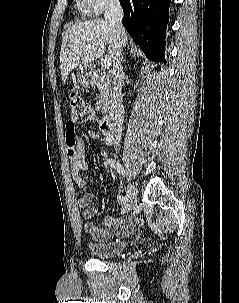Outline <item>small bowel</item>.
I'll return each mask as SVG.
<instances>
[{
    "label": "small bowel",
    "instance_id": "small-bowel-1",
    "mask_svg": "<svg viewBox=\"0 0 239 303\" xmlns=\"http://www.w3.org/2000/svg\"><path fill=\"white\" fill-rule=\"evenodd\" d=\"M96 120V112L91 110L84 122ZM88 135L90 138L102 141L106 145L112 144V139L102 131L99 133L90 130ZM66 148L70 159L72 178L80 189H85L87 187V181L81 176L82 172L88 170V164L85 161V142L81 136L76 134L75 125L73 129L67 127ZM94 198V193L86 192L79 197L77 203L78 206L83 209V218L85 219L84 230L95 240L106 241L115 236H129L136 226L143 223L142 218L138 216L117 217L108 215L103 219V227L99 228L91 221L99 212L98 207L89 206Z\"/></svg>",
    "mask_w": 239,
    "mask_h": 303
}]
</instances>
